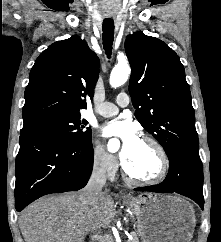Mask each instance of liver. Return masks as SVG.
<instances>
[{"label": "liver", "mask_w": 221, "mask_h": 242, "mask_svg": "<svg viewBox=\"0 0 221 242\" xmlns=\"http://www.w3.org/2000/svg\"><path fill=\"white\" fill-rule=\"evenodd\" d=\"M82 194L46 197L29 205L19 218L25 242H83L87 233L110 225L115 216L112 197L103 193L89 206Z\"/></svg>", "instance_id": "obj_1"}]
</instances>
